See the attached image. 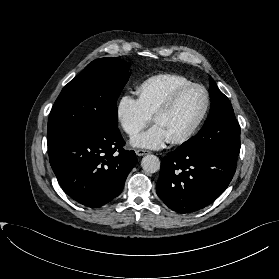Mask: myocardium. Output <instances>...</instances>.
<instances>
[{"label":"myocardium","instance_id":"1","mask_svg":"<svg viewBox=\"0 0 279 279\" xmlns=\"http://www.w3.org/2000/svg\"><path fill=\"white\" fill-rule=\"evenodd\" d=\"M194 88L201 89L204 92V94H205L204 108H203L201 114L199 115V117L197 118V120L195 121V123L185 134H183L182 136H180L178 138L169 140V142L173 145H179V144H183V143H186L187 141H189L198 132V130L202 126L203 122L205 121V119L208 115V112L210 110V105H211V97H210V93L207 90V88L198 83H189V84H186V85H183V86L177 88L169 96V98L165 101V103L156 111V113L152 117V121L155 123L157 119L168 114L173 109V107L175 106L178 99L180 98V96L183 93H185L186 91H188L190 89H194Z\"/></svg>","mask_w":279,"mask_h":279}]
</instances>
